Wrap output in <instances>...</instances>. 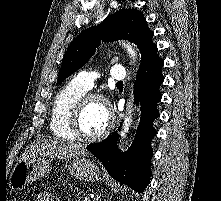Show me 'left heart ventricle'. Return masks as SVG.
I'll use <instances>...</instances> for the list:
<instances>
[{"mask_svg":"<svg viewBox=\"0 0 221 201\" xmlns=\"http://www.w3.org/2000/svg\"><path fill=\"white\" fill-rule=\"evenodd\" d=\"M109 122L106 107L99 101L90 102L81 117V131L88 136H93L104 130Z\"/></svg>","mask_w":221,"mask_h":201,"instance_id":"left-heart-ventricle-1","label":"left heart ventricle"}]
</instances>
